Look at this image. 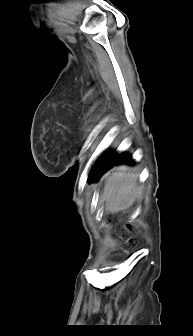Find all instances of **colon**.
<instances>
[{"instance_id":"colon-1","label":"colon","mask_w":193,"mask_h":336,"mask_svg":"<svg viewBox=\"0 0 193 336\" xmlns=\"http://www.w3.org/2000/svg\"><path fill=\"white\" fill-rule=\"evenodd\" d=\"M127 227H128V229H131V228H132L131 225H128Z\"/></svg>"}]
</instances>
